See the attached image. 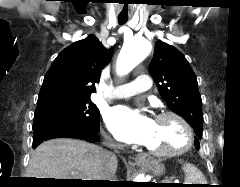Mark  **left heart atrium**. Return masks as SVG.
Here are the masks:
<instances>
[{"label":"left heart atrium","instance_id":"left-heart-atrium-1","mask_svg":"<svg viewBox=\"0 0 240 187\" xmlns=\"http://www.w3.org/2000/svg\"><path fill=\"white\" fill-rule=\"evenodd\" d=\"M105 119L114 136L126 143L148 145L156 128V121L152 118L123 106L112 108Z\"/></svg>","mask_w":240,"mask_h":187}]
</instances>
